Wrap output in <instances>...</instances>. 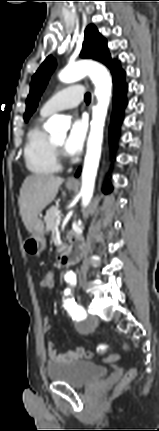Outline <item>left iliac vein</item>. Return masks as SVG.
I'll return each mask as SVG.
<instances>
[{
  "mask_svg": "<svg viewBox=\"0 0 159 431\" xmlns=\"http://www.w3.org/2000/svg\"><path fill=\"white\" fill-rule=\"evenodd\" d=\"M89 323H90V324L97 323V317H96V316H92V317H90V319H89Z\"/></svg>",
  "mask_w": 159,
  "mask_h": 431,
  "instance_id": "1",
  "label": "left iliac vein"
}]
</instances>
